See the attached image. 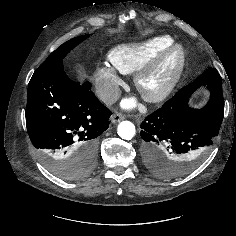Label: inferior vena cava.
<instances>
[{
    "mask_svg": "<svg viewBox=\"0 0 236 236\" xmlns=\"http://www.w3.org/2000/svg\"><path fill=\"white\" fill-rule=\"evenodd\" d=\"M121 96L119 87H113L100 95V99L107 105L115 103Z\"/></svg>",
    "mask_w": 236,
    "mask_h": 236,
    "instance_id": "1",
    "label": "inferior vena cava"
}]
</instances>
